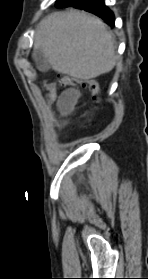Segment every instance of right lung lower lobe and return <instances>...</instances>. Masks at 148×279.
I'll use <instances>...</instances> for the list:
<instances>
[{"mask_svg": "<svg viewBox=\"0 0 148 279\" xmlns=\"http://www.w3.org/2000/svg\"><path fill=\"white\" fill-rule=\"evenodd\" d=\"M55 6L58 8L73 6L91 12L108 21L111 27L114 26V15L112 11L105 6L104 0H58Z\"/></svg>", "mask_w": 148, "mask_h": 279, "instance_id": "right-lung-lower-lobe-1", "label": "right lung lower lobe"}]
</instances>
